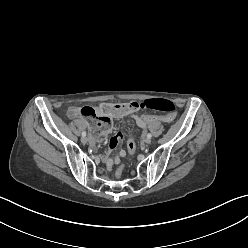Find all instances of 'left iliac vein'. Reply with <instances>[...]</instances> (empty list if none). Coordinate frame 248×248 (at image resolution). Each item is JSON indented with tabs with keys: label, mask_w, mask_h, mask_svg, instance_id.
Segmentation results:
<instances>
[{
	"label": "left iliac vein",
	"mask_w": 248,
	"mask_h": 248,
	"mask_svg": "<svg viewBox=\"0 0 248 248\" xmlns=\"http://www.w3.org/2000/svg\"><path fill=\"white\" fill-rule=\"evenodd\" d=\"M144 141H145L146 144H150L151 143V139L150 138H146Z\"/></svg>",
	"instance_id": "obj_1"
}]
</instances>
